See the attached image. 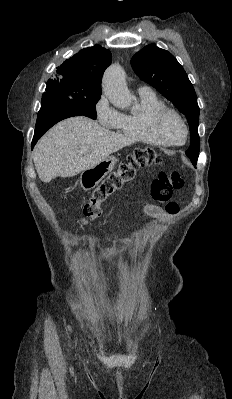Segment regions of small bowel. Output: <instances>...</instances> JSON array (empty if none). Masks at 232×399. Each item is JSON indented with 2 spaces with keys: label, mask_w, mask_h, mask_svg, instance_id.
<instances>
[{
  "label": "small bowel",
  "mask_w": 232,
  "mask_h": 399,
  "mask_svg": "<svg viewBox=\"0 0 232 399\" xmlns=\"http://www.w3.org/2000/svg\"><path fill=\"white\" fill-rule=\"evenodd\" d=\"M147 212L152 214V215H158L160 210L157 206L154 205H148L146 208ZM121 245H129V242H121Z\"/></svg>",
  "instance_id": "c3829d8e"
}]
</instances>
